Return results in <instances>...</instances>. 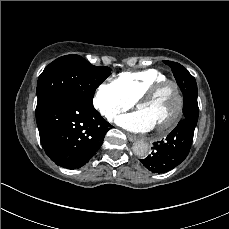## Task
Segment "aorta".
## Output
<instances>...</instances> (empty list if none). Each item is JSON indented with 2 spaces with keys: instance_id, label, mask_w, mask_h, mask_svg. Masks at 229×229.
<instances>
[{
  "instance_id": "762f6f07",
  "label": "aorta",
  "mask_w": 229,
  "mask_h": 229,
  "mask_svg": "<svg viewBox=\"0 0 229 229\" xmlns=\"http://www.w3.org/2000/svg\"><path fill=\"white\" fill-rule=\"evenodd\" d=\"M133 152L138 157H146L149 153V144L143 140H138L133 144Z\"/></svg>"
}]
</instances>
